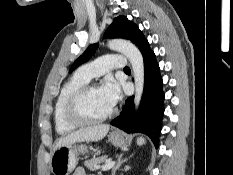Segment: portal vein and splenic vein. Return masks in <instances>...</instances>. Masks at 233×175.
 <instances>
[{
    "label": "portal vein and splenic vein",
    "instance_id": "obj_1",
    "mask_svg": "<svg viewBox=\"0 0 233 175\" xmlns=\"http://www.w3.org/2000/svg\"><path fill=\"white\" fill-rule=\"evenodd\" d=\"M115 165L114 161H107L106 164L104 166H102V170L106 171L111 169L113 166Z\"/></svg>",
    "mask_w": 233,
    "mask_h": 175
}]
</instances>
